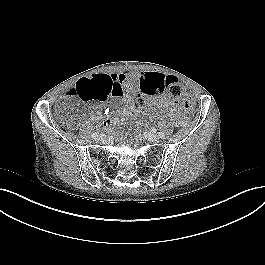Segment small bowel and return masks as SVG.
Wrapping results in <instances>:
<instances>
[{
	"label": "small bowel",
	"mask_w": 265,
	"mask_h": 265,
	"mask_svg": "<svg viewBox=\"0 0 265 265\" xmlns=\"http://www.w3.org/2000/svg\"><path fill=\"white\" fill-rule=\"evenodd\" d=\"M166 74L159 71H144L138 75L130 74H96L91 77L83 78L86 80H94V79H106L111 87V94L115 97H121L125 93H139V96H145L150 98L149 101L146 102L145 107L147 109L151 107H157L161 109H167L171 113L176 112L178 107L177 103L172 101L167 94L166 84L164 82V78ZM72 88V87H71ZM71 88L68 90L70 91ZM68 97V96H67ZM126 103H131V97L129 95L126 96ZM144 101L142 98L141 106ZM90 118L93 121H98L101 119V114L97 111H93L90 114ZM118 119L112 118L107 119L103 122L104 128H113L117 125Z\"/></svg>",
	"instance_id": "small-bowel-1"
}]
</instances>
